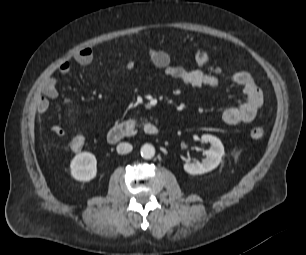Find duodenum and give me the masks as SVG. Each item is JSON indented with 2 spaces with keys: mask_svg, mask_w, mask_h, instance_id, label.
I'll use <instances>...</instances> for the list:
<instances>
[{
  "mask_svg": "<svg viewBox=\"0 0 306 255\" xmlns=\"http://www.w3.org/2000/svg\"><path fill=\"white\" fill-rule=\"evenodd\" d=\"M139 129L138 123L134 120H128L110 128L107 133V140L111 144H115L125 138L134 136ZM143 131L148 136H156L159 132L156 125L146 123L143 126Z\"/></svg>",
  "mask_w": 306,
  "mask_h": 255,
  "instance_id": "obj_1",
  "label": "duodenum"
}]
</instances>
